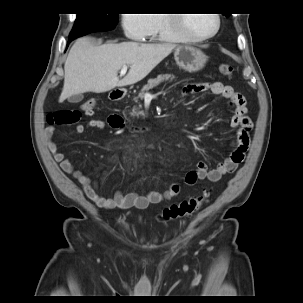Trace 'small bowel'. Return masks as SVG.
Wrapping results in <instances>:
<instances>
[{
    "label": "small bowel",
    "mask_w": 303,
    "mask_h": 303,
    "mask_svg": "<svg viewBox=\"0 0 303 303\" xmlns=\"http://www.w3.org/2000/svg\"><path fill=\"white\" fill-rule=\"evenodd\" d=\"M210 91L214 95L226 98L230 105L235 108V114L231 119V126L237 129L235 139V149L229 157L221 162L216 168L209 169L205 161H198L196 168L189 171L185 176L187 185H194L198 181L208 180L216 183L221 180L222 176L231 174L236 171L238 166L243 162L245 153L249 146V135L252 129L251 120L245 115L246 101L241 93L236 92L232 86L224 85L220 82L207 83H190L183 87V93L192 94L196 92ZM113 128H118L116 122L110 123ZM107 123L100 119H91L86 126L77 125L75 130L83 133L87 128L99 131L107 130ZM55 129L47 127L45 136L47 147L54 160L60 165L61 169L67 174L73 175L81 185L86 196L103 209H146L151 204L162 203L170 200L180 194V183H172L168 189L163 192L149 191L145 194L130 192L124 194L122 191H116L113 196L107 197L98 193L96 185L83 172L74 168L65 155L58 150L56 142L53 140ZM101 167V166H100Z\"/></svg>",
    "instance_id": "1"
}]
</instances>
